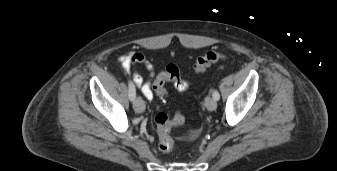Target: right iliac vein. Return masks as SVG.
<instances>
[{
    "label": "right iliac vein",
    "instance_id": "obj_1",
    "mask_svg": "<svg viewBox=\"0 0 337 171\" xmlns=\"http://www.w3.org/2000/svg\"><path fill=\"white\" fill-rule=\"evenodd\" d=\"M133 108L137 113H143L145 111V103L141 97H137L133 101Z\"/></svg>",
    "mask_w": 337,
    "mask_h": 171
}]
</instances>
